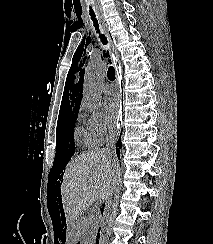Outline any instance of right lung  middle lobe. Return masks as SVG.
Here are the masks:
<instances>
[{
  "label": "right lung middle lobe",
  "instance_id": "right-lung-middle-lobe-1",
  "mask_svg": "<svg viewBox=\"0 0 213 244\" xmlns=\"http://www.w3.org/2000/svg\"><path fill=\"white\" fill-rule=\"evenodd\" d=\"M79 109H73L59 114L56 131V155L49 175V181L54 182L59 171L65 168L75 152L74 124Z\"/></svg>",
  "mask_w": 213,
  "mask_h": 244
}]
</instances>
